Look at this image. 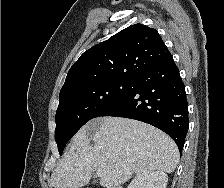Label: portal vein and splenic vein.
Returning a JSON list of instances; mask_svg holds the SVG:
<instances>
[{
	"label": "portal vein and splenic vein",
	"mask_w": 224,
	"mask_h": 188,
	"mask_svg": "<svg viewBox=\"0 0 224 188\" xmlns=\"http://www.w3.org/2000/svg\"><path fill=\"white\" fill-rule=\"evenodd\" d=\"M97 176L102 177L103 176V171L102 170H97Z\"/></svg>",
	"instance_id": "1"
}]
</instances>
